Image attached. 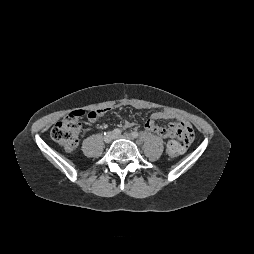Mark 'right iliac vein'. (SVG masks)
I'll list each match as a JSON object with an SVG mask.
<instances>
[{"mask_svg": "<svg viewBox=\"0 0 254 254\" xmlns=\"http://www.w3.org/2000/svg\"><path fill=\"white\" fill-rule=\"evenodd\" d=\"M114 139V134L112 132H108L104 136V142L105 143H110Z\"/></svg>", "mask_w": 254, "mask_h": 254, "instance_id": "1", "label": "right iliac vein"}]
</instances>
